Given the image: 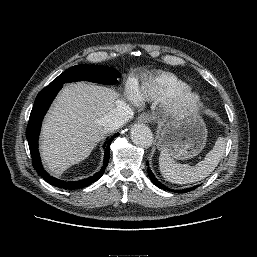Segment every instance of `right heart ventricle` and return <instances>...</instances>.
Returning a JSON list of instances; mask_svg holds the SVG:
<instances>
[{
  "instance_id": "right-heart-ventricle-1",
  "label": "right heart ventricle",
  "mask_w": 257,
  "mask_h": 257,
  "mask_svg": "<svg viewBox=\"0 0 257 257\" xmlns=\"http://www.w3.org/2000/svg\"><path fill=\"white\" fill-rule=\"evenodd\" d=\"M188 87V84L176 75L168 72H157L146 76L133 88V96L139 101H164L174 93Z\"/></svg>"
}]
</instances>
